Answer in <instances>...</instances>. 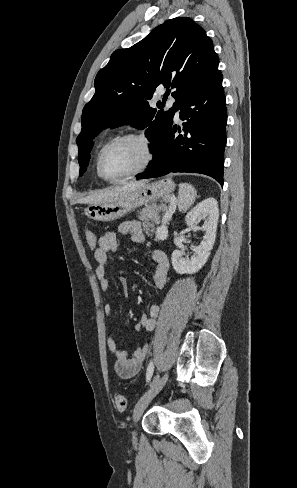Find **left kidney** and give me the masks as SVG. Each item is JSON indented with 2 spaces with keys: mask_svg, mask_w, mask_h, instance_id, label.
<instances>
[{
  "mask_svg": "<svg viewBox=\"0 0 297 488\" xmlns=\"http://www.w3.org/2000/svg\"><path fill=\"white\" fill-rule=\"evenodd\" d=\"M202 216H208V221L202 227L205 235L199 246L193 248V256L189 258L182 250H174L172 253V266L179 274H193L199 271L207 262L213 248L219 219L218 204L214 198H207L200 202L188 212L185 222L192 228Z\"/></svg>",
  "mask_w": 297,
  "mask_h": 488,
  "instance_id": "5707ae66",
  "label": "left kidney"
}]
</instances>
